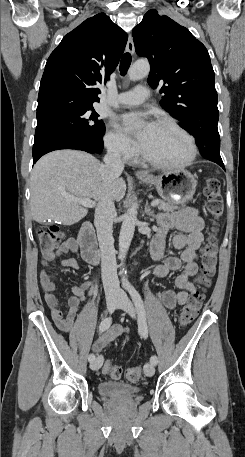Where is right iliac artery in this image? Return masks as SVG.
I'll use <instances>...</instances> for the list:
<instances>
[{
  "label": "right iliac artery",
  "instance_id": "1",
  "mask_svg": "<svg viewBox=\"0 0 245 457\" xmlns=\"http://www.w3.org/2000/svg\"><path fill=\"white\" fill-rule=\"evenodd\" d=\"M112 324V318L110 316L106 317L105 319L102 320L100 326H99V331L102 333L105 330H107L110 325ZM89 362H93L95 360V355L90 354L88 357Z\"/></svg>",
  "mask_w": 245,
  "mask_h": 457
}]
</instances>
